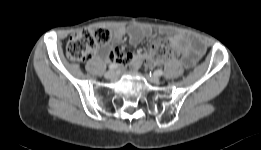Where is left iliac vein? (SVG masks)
Instances as JSON below:
<instances>
[{
	"label": "left iliac vein",
	"instance_id": "1",
	"mask_svg": "<svg viewBox=\"0 0 261 150\" xmlns=\"http://www.w3.org/2000/svg\"><path fill=\"white\" fill-rule=\"evenodd\" d=\"M146 78H147V80L149 81V82H151V83H154V84H158L159 82H160V79H159V77L158 76H156V75H146Z\"/></svg>",
	"mask_w": 261,
	"mask_h": 150
}]
</instances>
